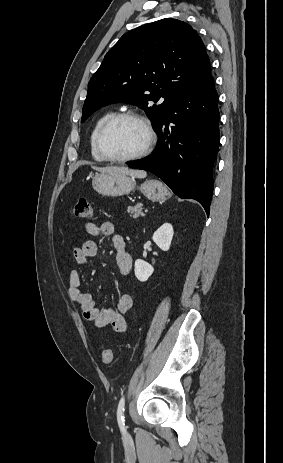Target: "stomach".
Instances as JSON below:
<instances>
[{
  "instance_id": "0dacf381",
  "label": "stomach",
  "mask_w": 283,
  "mask_h": 463,
  "mask_svg": "<svg viewBox=\"0 0 283 463\" xmlns=\"http://www.w3.org/2000/svg\"><path fill=\"white\" fill-rule=\"evenodd\" d=\"M94 190L104 196L118 197L128 195L136 188L135 178L120 173H99L92 180ZM137 188L152 201H163L170 193L158 180H146Z\"/></svg>"
}]
</instances>
